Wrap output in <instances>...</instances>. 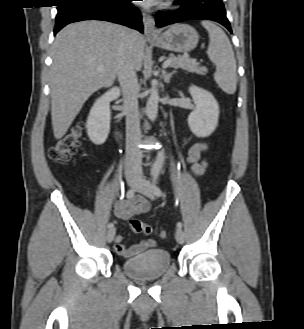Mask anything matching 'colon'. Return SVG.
Returning <instances> with one entry per match:
<instances>
[{"mask_svg": "<svg viewBox=\"0 0 304 329\" xmlns=\"http://www.w3.org/2000/svg\"><path fill=\"white\" fill-rule=\"evenodd\" d=\"M84 133V124L82 122L74 125L64 136H62L49 151V157L57 163H64L70 160L78 150ZM130 228L133 232L152 235L157 230L139 219L130 220ZM164 235L163 232H161Z\"/></svg>", "mask_w": 304, "mask_h": 329, "instance_id": "obj_1", "label": "colon"}]
</instances>
